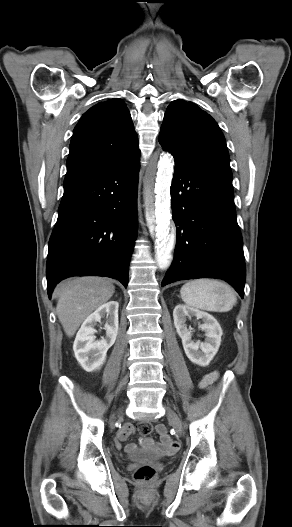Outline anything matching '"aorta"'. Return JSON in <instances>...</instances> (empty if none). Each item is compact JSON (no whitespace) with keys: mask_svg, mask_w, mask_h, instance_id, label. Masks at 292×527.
Returning a JSON list of instances; mask_svg holds the SVG:
<instances>
[{"mask_svg":"<svg viewBox=\"0 0 292 527\" xmlns=\"http://www.w3.org/2000/svg\"><path fill=\"white\" fill-rule=\"evenodd\" d=\"M173 161L169 154L163 155L156 167L152 162L144 180L145 200L148 205L155 204L156 258L160 268L170 265L173 242L170 231V186Z\"/></svg>","mask_w":292,"mask_h":527,"instance_id":"aorta-1","label":"aorta"}]
</instances>
